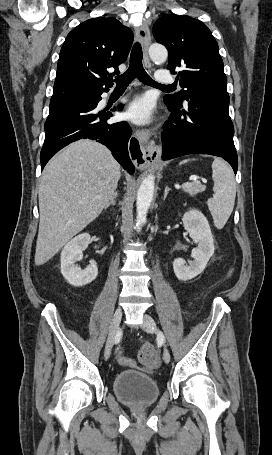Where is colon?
Segmentation results:
<instances>
[{"label":"colon","instance_id":"obj_1","mask_svg":"<svg viewBox=\"0 0 272 455\" xmlns=\"http://www.w3.org/2000/svg\"><path fill=\"white\" fill-rule=\"evenodd\" d=\"M138 358L139 361L146 366H155L159 362L158 354L150 344H146L140 349Z\"/></svg>","mask_w":272,"mask_h":455}]
</instances>
